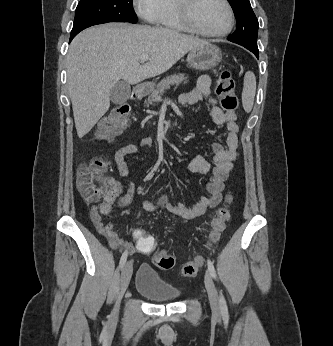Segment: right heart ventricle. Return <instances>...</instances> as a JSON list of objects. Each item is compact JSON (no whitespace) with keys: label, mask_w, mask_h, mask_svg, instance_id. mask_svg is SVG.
<instances>
[{"label":"right heart ventricle","mask_w":333,"mask_h":346,"mask_svg":"<svg viewBox=\"0 0 333 346\" xmlns=\"http://www.w3.org/2000/svg\"><path fill=\"white\" fill-rule=\"evenodd\" d=\"M159 26L177 31H188L189 28L182 22L175 0H165L164 9L157 21Z\"/></svg>","instance_id":"1"}]
</instances>
